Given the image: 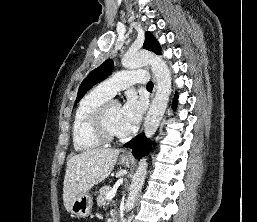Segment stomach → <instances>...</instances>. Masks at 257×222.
Segmentation results:
<instances>
[{"instance_id":"obj_1","label":"stomach","mask_w":257,"mask_h":222,"mask_svg":"<svg viewBox=\"0 0 257 222\" xmlns=\"http://www.w3.org/2000/svg\"><path fill=\"white\" fill-rule=\"evenodd\" d=\"M119 163L129 167L131 160L126 157H120ZM93 199L88 192L78 194L71 203L70 212L77 216L85 218L90 215Z\"/></svg>"}]
</instances>
